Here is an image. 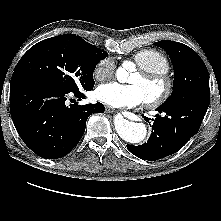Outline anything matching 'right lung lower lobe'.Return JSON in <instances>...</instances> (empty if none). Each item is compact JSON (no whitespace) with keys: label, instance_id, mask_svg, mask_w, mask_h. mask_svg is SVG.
Masks as SVG:
<instances>
[{"label":"right lung lower lobe","instance_id":"right-lung-lower-lobe-1","mask_svg":"<svg viewBox=\"0 0 221 221\" xmlns=\"http://www.w3.org/2000/svg\"><path fill=\"white\" fill-rule=\"evenodd\" d=\"M69 93L30 75H12L13 123L23 142L42 158L67 155L82 138L89 115L104 112L102 103L68 107L65 101ZM73 93L77 98H85L80 91Z\"/></svg>","mask_w":221,"mask_h":221}]
</instances>
